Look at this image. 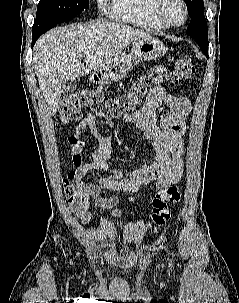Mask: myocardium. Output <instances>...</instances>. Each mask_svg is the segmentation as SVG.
Instances as JSON below:
<instances>
[{"instance_id": "f54148a6", "label": "myocardium", "mask_w": 239, "mask_h": 303, "mask_svg": "<svg viewBox=\"0 0 239 303\" xmlns=\"http://www.w3.org/2000/svg\"><path fill=\"white\" fill-rule=\"evenodd\" d=\"M178 1L181 3V5L183 7L184 17L180 23L175 24V23L170 22L163 13V7H164V4L167 2V0H154V3L152 5V12H153L154 18L160 24H162L164 27L178 28L186 23L188 16H189L188 5L185 0H178Z\"/></svg>"}]
</instances>
